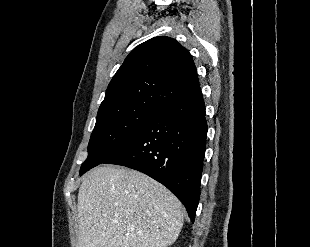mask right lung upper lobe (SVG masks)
Returning <instances> with one entry per match:
<instances>
[{
  "mask_svg": "<svg viewBox=\"0 0 310 247\" xmlns=\"http://www.w3.org/2000/svg\"><path fill=\"white\" fill-rule=\"evenodd\" d=\"M198 90L188 50L172 38L154 37L127 56L109 83L97 116L134 106L161 110Z\"/></svg>",
  "mask_w": 310,
  "mask_h": 247,
  "instance_id": "cb5924a9",
  "label": "right lung upper lobe"
}]
</instances>
